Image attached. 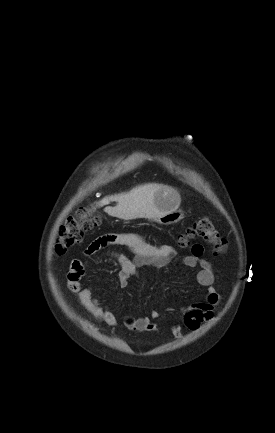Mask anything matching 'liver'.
I'll return each instance as SVG.
<instances>
[{
  "label": "liver",
  "mask_w": 275,
  "mask_h": 433,
  "mask_svg": "<svg viewBox=\"0 0 275 433\" xmlns=\"http://www.w3.org/2000/svg\"><path fill=\"white\" fill-rule=\"evenodd\" d=\"M162 186L159 184H145L133 188L127 193L103 198L98 205H108L111 201H116L115 207L107 206L104 211L113 217L124 220L136 218L154 219L159 216V212L154 204L155 192Z\"/></svg>",
  "instance_id": "obj_1"
}]
</instances>
